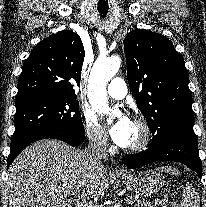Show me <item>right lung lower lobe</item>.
I'll return each mask as SVG.
<instances>
[{
  "label": "right lung lower lobe",
  "mask_w": 206,
  "mask_h": 207,
  "mask_svg": "<svg viewBox=\"0 0 206 207\" xmlns=\"http://www.w3.org/2000/svg\"><path fill=\"white\" fill-rule=\"evenodd\" d=\"M47 138H54L68 143L71 146L80 145L85 140L84 135L74 134L65 130L56 128H45L30 132L20 139L11 141L10 154L8 156L7 168L13 162L15 157L25 149L29 144Z\"/></svg>",
  "instance_id": "right-lung-lower-lobe-1"
}]
</instances>
